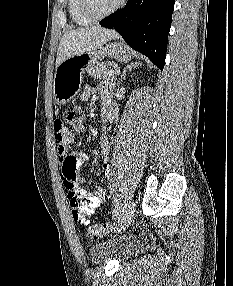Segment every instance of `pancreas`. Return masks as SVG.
I'll list each match as a JSON object with an SVG mask.
<instances>
[{
  "label": "pancreas",
  "instance_id": "cf45deb5",
  "mask_svg": "<svg viewBox=\"0 0 233 286\" xmlns=\"http://www.w3.org/2000/svg\"><path fill=\"white\" fill-rule=\"evenodd\" d=\"M107 68V63H97L96 65L89 68L87 72L91 77H94L96 79L114 81L115 76L110 75L109 70Z\"/></svg>",
  "mask_w": 233,
  "mask_h": 286
}]
</instances>
